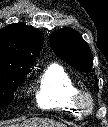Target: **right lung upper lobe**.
Listing matches in <instances>:
<instances>
[{
	"instance_id": "right-lung-upper-lobe-1",
	"label": "right lung upper lobe",
	"mask_w": 108,
	"mask_h": 127,
	"mask_svg": "<svg viewBox=\"0 0 108 127\" xmlns=\"http://www.w3.org/2000/svg\"><path fill=\"white\" fill-rule=\"evenodd\" d=\"M41 46V32L32 26L16 23L0 30V58L32 66Z\"/></svg>"
}]
</instances>
